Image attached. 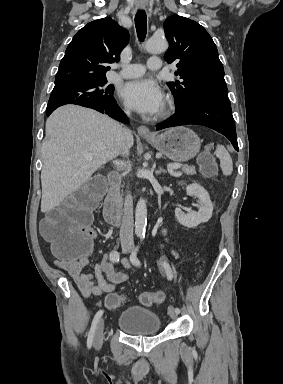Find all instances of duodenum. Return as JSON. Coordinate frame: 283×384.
<instances>
[{"label": "duodenum", "instance_id": "410a0bca", "mask_svg": "<svg viewBox=\"0 0 283 384\" xmlns=\"http://www.w3.org/2000/svg\"><path fill=\"white\" fill-rule=\"evenodd\" d=\"M109 191L107 193L103 216L107 223L120 227L123 223L122 209L118 203L119 186L121 184V176L118 172L113 171L108 175Z\"/></svg>", "mask_w": 283, "mask_h": 384}]
</instances>
